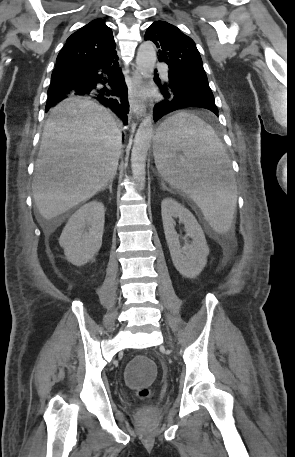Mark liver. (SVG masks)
Segmentation results:
<instances>
[{
	"label": "liver",
	"mask_w": 295,
	"mask_h": 457,
	"mask_svg": "<svg viewBox=\"0 0 295 457\" xmlns=\"http://www.w3.org/2000/svg\"><path fill=\"white\" fill-rule=\"evenodd\" d=\"M121 132L108 109L70 97L51 111L32 182L41 216L51 221L105 188L117 172Z\"/></svg>",
	"instance_id": "liver-1"
}]
</instances>
